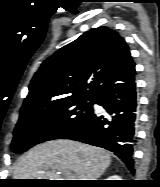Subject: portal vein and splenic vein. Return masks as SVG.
I'll return each mask as SVG.
<instances>
[{"label":"portal vein and splenic vein","mask_w":160,"mask_h":187,"mask_svg":"<svg viewBox=\"0 0 160 187\" xmlns=\"http://www.w3.org/2000/svg\"><path fill=\"white\" fill-rule=\"evenodd\" d=\"M68 180H76L75 176L71 174L70 172L64 173Z\"/></svg>","instance_id":"portal-vein-and-splenic-vein-1"}]
</instances>
